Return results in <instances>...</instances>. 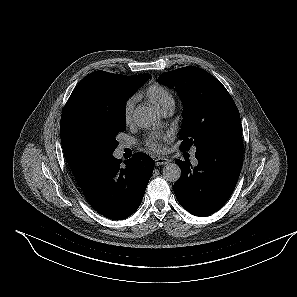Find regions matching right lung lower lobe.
<instances>
[{
	"instance_id": "1",
	"label": "right lung lower lobe",
	"mask_w": 297,
	"mask_h": 297,
	"mask_svg": "<svg viewBox=\"0 0 297 297\" xmlns=\"http://www.w3.org/2000/svg\"><path fill=\"white\" fill-rule=\"evenodd\" d=\"M124 163L112 156L81 186L89 204L113 220L125 219L138 209L154 169V160L141 152Z\"/></svg>"
}]
</instances>
